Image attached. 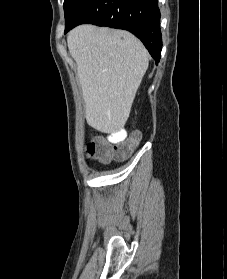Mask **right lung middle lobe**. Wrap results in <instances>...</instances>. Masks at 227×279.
Segmentation results:
<instances>
[{
  "label": "right lung middle lobe",
  "mask_w": 227,
  "mask_h": 279,
  "mask_svg": "<svg viewBox=\"0 0 227 279\" xmlns=\"http://www.w3.org/2000/svg\"><path fill=\"white\" fill-rule=\"evenodd\" d=\"M85 0H64L65 30L73 23L76 13Z\"/></svg>",
  "instance_id": "obj_1"
}]
</instances>
